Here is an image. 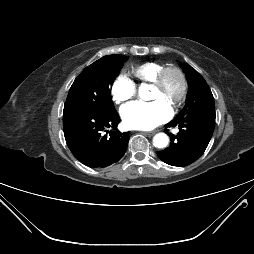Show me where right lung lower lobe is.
<instances>
[{"instance_id":"98d812e1","label":"right lung lower lobe","mask_w":254,"mask_h":254,"mask_svg":"<svg viewBox=\"0 0 254 254\" xmlns=\"http://www.w3.org/2000/svg\"><path fill=\"white\" fill-rule=\"evenodd\" d=\"M120 122L114 112H94L75 105L65 104L63 128L67 145L73 155L84 165L96 168L117 162L125 153L128 133L107 131L115 129Z\"/></svg>"}]
</instances>
